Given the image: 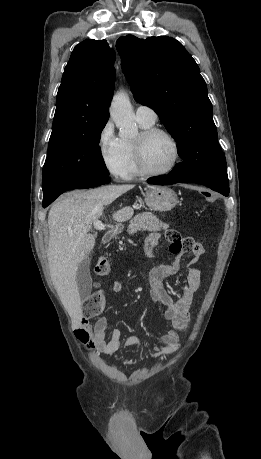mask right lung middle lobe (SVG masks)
Here are the masks:
<instances>
[{
    "label": "right lung middle lobe",
    "instance_id": "right-lung-middle-lobe-1",
    "mask_svg": "<svg viewBox=\"0 0 261 459\" xmlns=\"http://www.w3.org/2000/svg\"><path fill=\"white\" fill-rule=\"evenodd\" d=\"M106 123L82 132L50 137L43 167V198L70 183L109 176L98 146Z\"/></svg>",
    "mask_w": 261,
    "mask_h": 459
}]
</instances>
